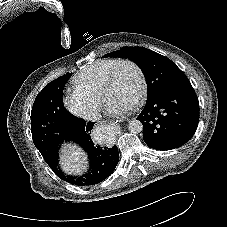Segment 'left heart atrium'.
Here are the masks:
<instances>
[{"mask_svg":"<svg viewBox=\"0 0 227 227\" xmlns=\"http://www.w3.org/2000/svg\"><path fill=\"white\" fill-rule=\"evenodd\" d=\"M131 104L109 101L106 104V113L110 116L119 117L131 109Z\"/></svg>","mask_w":227,"mask_h":227,"instance_id":"1","label":"left heart atrium"}]
</instances>
